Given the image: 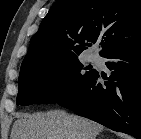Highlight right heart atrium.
I'll return each instance as SVG.
<instances>
[{
  "instance_id": "d8ad5b80",
  "label": "right heart atrium",
  "mask_w": 141,
  "mask_h": 139,
  "mask_svg": "<svg viewBox=\"0 0 141 139\" xmlns=\"http://www.w3.org/2000/svg\"><path fill=\"white\" fill-rule=\"evenodd\" d=\"M54 80H55L56 82H60V81L62 80V76H61L60 74H55V75H54Z\"/></svg>"
}]
</instances>
